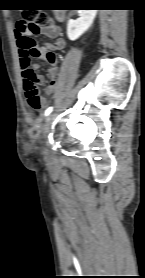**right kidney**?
I'll return each mask as SVG.
<instances>
[{
    "label": "right kidney",
    "instance_id": "right-kidney-1",
    "mask_svg": "<svg viewBox=\"0 0 145 278\" xmlns=\"http://www.w3.org/2000/svg\"><path fill=\"white\" fill-rule=\"evenodd\" d=\"M97 10H81L80 17L76 20L70 19L67 24V36L70 40L78 39L92 25Z\"/></svg>",
    "mask_w": 145,
    "mask_h": 278
}]
</instances>
